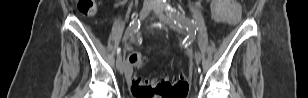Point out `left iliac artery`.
<instances>
[{
	"label": "left iliac artery",
	"instance_id": "obj_1",
	"mask_svg": "<svg viewBox=\"0 0 308 98\" xmlns=\"http://www.w3.org/2000/svg\"><path fill=\"white\" fill-rule=\"evenodd\" d=\"M169 11H170V17L173 19L174 23L178 24L180 27H186L187 29L195 30V34H196V30H198V28H196V24L194 20H191L185 15L181 14L175 8L171 7L169 8ZM209 29H210V26L208 24H205L203 26V29L201 30V33L203 35H206Z\"/></svg>",
	"mask_w": 308,
	"mask_h": 98
}]
</instances>
